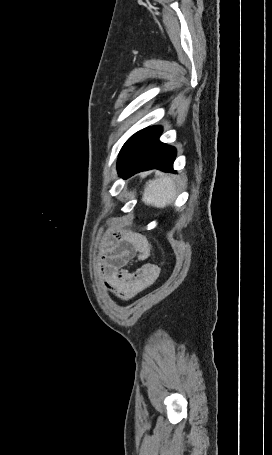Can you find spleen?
Here are the masks:
<instances>
[{
	"label": "spleen",
	"instance_id": "obj_1",
	"mask_svg": "<svg viewBox=\"0 0 272 455\" xmlns=\"http://www.w3.org/2000/svg\"><path fill=\"white\" fill-rule=\"evenodd\" d=\"M176 197V186L173 179L163 175L146 183L142 201L147 205L164 208Z\"/></svg>",
	"mask_w": 272,
	"mask_h": 455
}]
</instances>
